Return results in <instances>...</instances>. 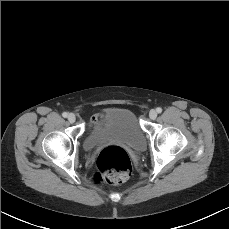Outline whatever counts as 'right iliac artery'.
I'll use <instances>...</instances> for the list:
<instances>
[{
    "instance_id": "right-iliac-artery-1",
    "label": "right iliac artery",
    "mask_w": 229,
    "mask_h": 229,
    "mask_svg": "<svg viewBox=\"0 0 229 229\" xmlns=\"http://www.w3.org/2000/svg\"><path fill=\"white\" fill-rule=\"evenodd\" d=\"M62 116H63L64 118H66V117L68 116V113H67V112H64V113L62 114Z\"/></svg>"
}]
</instances>
